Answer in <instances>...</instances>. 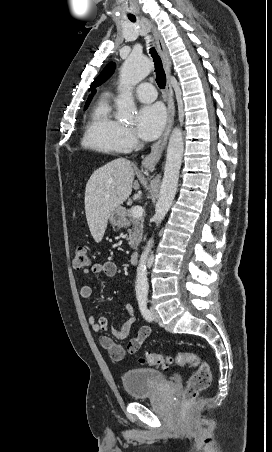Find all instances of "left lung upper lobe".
I'll list each match as a JSON object with an SVG mask.
<instances>
[{
	"label": "left lung upper lobe",
	"mask_w": 272,
	"mask_h": 452,
	"mask_svg": "<svg viewBox=\"0 0 272 452\" xmlns=\"http://www.w3.org/2000/svg\"><path fill=\"white\" fill-rule=\"evenodd\" d=\"M114 69L115 64L113 62L108 63L99 76L93 81L90 89L105 82L113 74Z\"/></svg>",
	"instance_id": "left-lung-upper-lobe-1"
}]
</instances>
